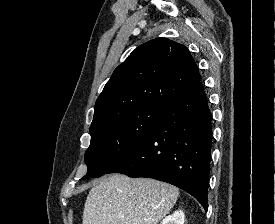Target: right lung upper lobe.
<instances>
[{"instance_id":"right-lung-upper-lobe-1","label":"right lung upper lobe","mask_w":275,"mask_h":224,"mask_svg":"<svg viewBox=\"0 0 275 224\" xmlns=\"http://www.w3.org/2000/svg\"><path fill=\"white\" fill-rule=\"evenodd\" d=\"M200 81L184 45L166 38L151 40L115 69L96 101L91 127L143 107L168 109Z\"/></svg>"}]
</instances>
